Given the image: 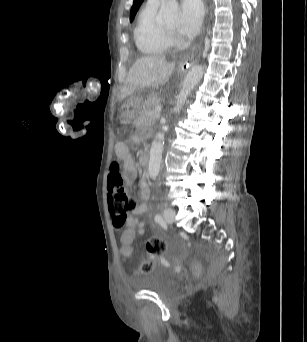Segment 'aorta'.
<instances>
[{
	"label": "aorta",
	"instance_id": "1",
	"mask_svg": "<svg viewBox=\"0 0 307 342\" xmlns=\"http://www.w3.org/2000/svg\"><path fill=\"white\" fill-rule=\"evenodd\" d=\"M159 16L163 24H168V26H177V24H180L179 4L177 0H168V2H163V0H161ZM202 76V66H193L190 72L186 74V78L183 80L179 96H177L176 106H174L175 114L181 112L188 96H190L195 86L199 84ZM162 130L163 132H159V134L156 136V140L152 142L148 164V174L150 178L158 176L160 172V164L164 146V130H167V126H164Z\"/></svg>",
	"mask_w": 307,
	"mask_h": 342
}]
</instances>
